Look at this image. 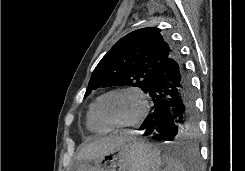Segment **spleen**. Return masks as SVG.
<instances>
[{
  "label": "spleen",
  "instance_id": "obj_1",
  "mask_svg": "<svg viewBox=\"0 0 245 171\" xmlns=\"http://www.w3.org/2000/svg\"><path fill=\"white\" fill-rule=\"evenodd\" d=\"M163 158L166 163V167L163 171H186L182 163L176 158L170 155H164Z\"/></svg>",
  "mask_w": 245,
  "mask_h": 171
}]
</instances>
